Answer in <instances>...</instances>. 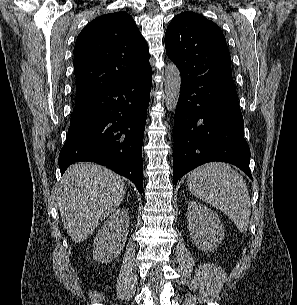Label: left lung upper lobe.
<instances>
[{"mask_svg":"<svg viewBox=\"0 0 297 305\" xmlns=\"http://www.w3.org/2000/svg\"><path fill=\"white\" fill-rule=\"evenodd\" d=\"M168 57L194 76H232L225 36L212 21L194 12H182L170 22L165 34Z\"/></svg>","mask_w":297,"mask_h":305,"instance_id":"obj_1","label":"left lung upper lobe"}]
</instances>
